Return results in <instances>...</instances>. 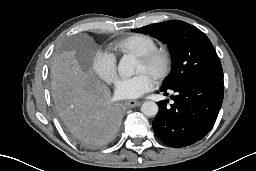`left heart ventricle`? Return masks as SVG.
Wrapping results in <instances>:
<instances>
[{
	"instance_id": "left-heart-ventricle-1",
	"label": "left heart ventricle",
	"mask_w": 256,
	"mask_h": 171,
	"mask_svg": "<svg viewBox=\"0 0 256 171\" xmlns=\"http://www.w3.org/2000/svg\"><path fill=\"white\" fill-rule=\"evenodd\" d=\"M138 73H147L150 77H152V73L147 67L139 60L137 66Z\"/></svg>"
}]
</instances>
